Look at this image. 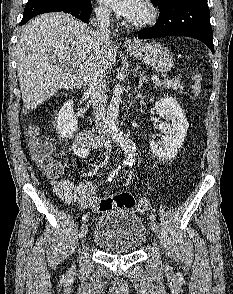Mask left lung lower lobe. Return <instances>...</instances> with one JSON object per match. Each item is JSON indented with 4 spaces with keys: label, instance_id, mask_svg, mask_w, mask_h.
<instances>
[{
    "label": "left lung lower lobe",
    "instance_id": "obj_1",
    "mask_svg": "<svg viewBox=\"0 0 233 294\" xmlns=\"http://www.w3.org/2000/svg\"><path fill=\"white\" fill-rule=\"evenodd\" d=\"M158 8L160 14L156 24L140 30L138 39L187 36L202 41L214 53L207 0H170Z\"/></svg>",
    "mask_w": 233,
    "mask_h": 294
}]
</instances>
